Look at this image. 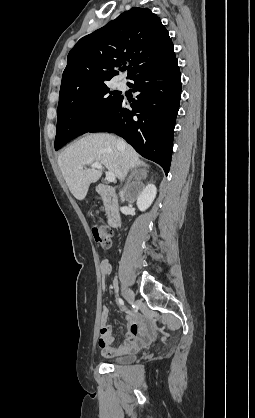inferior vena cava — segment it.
<instances>
[{
	"label": "inferior vena cava",
	"instance_id": "1",
	"mask_svg": "<svg viewBox=\"0 0 255 418\" xmlns=\"http://www.w3.org/2000/svg\"><path fill=\"white\" fill-rule=\"evenodd\" d=\"M117 147L121 150V165L124 173H127L129 169V156L127 152V144L123 139L118 138L117 139Z\"/></svg>",
	"mask_w": 255,
	"mask_h": 418
}]
</instances>
